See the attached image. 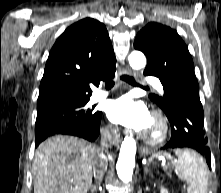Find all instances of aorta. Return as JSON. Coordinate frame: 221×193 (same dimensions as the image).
Segmentation results:
<instances>
[{"label": "aorta", "mask_w": 221, "mask_h": 193, "mask_svg": "<svg viewBox=\"0 0 221 193\" xmlns=\"http://www.w3.org/2000/svg\"><path fill=\"white\" fill-rule=\"evenodd\" d=\"M129 64L134 70L144 69L146 66V57L140 51H133L129 55ZM136 141L132 136L126 137L120 148L119 158L116 164L118 177L124 182L129 183L132 180L133 168L135 166Z\"/></svg>", "instance_id": "1"}]
</instances>
